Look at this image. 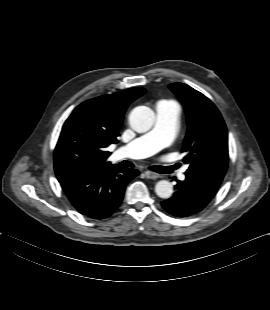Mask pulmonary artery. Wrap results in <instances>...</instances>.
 <instances>
[{
  "label": "pulmonary artery",
  "instance_id": "e3ab8cb5",
  "mask_svg": "<svg viewBox=\"0 0 270 310\" xmlns=\"http://www.w3.org/2000/svg\"><path fill=\"white\" fill-rule=\"evenodd\" d=\"M179 107L172 102L160 101L155 107L153 128L121 148L127 157L146 158L169 146L176 135ZM184 179V176H181Z\"/></svg>",
  "mask_w": 270,
  "mask_h": 310
}]
</instances>
